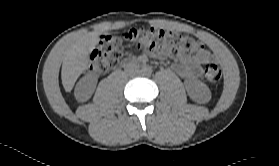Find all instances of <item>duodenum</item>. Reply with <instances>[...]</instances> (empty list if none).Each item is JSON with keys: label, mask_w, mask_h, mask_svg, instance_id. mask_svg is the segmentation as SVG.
I'll list each match as a JSON object with an SVG mask.
<instances>
[{"label": "duodenum", "mask_w": 279, "mask_h": 166, "mask_svg": "<svg viewBox=\"0 0 279 166\" xmlns=\"http://www.w3.org/2000/svg\"><path fill=\"white\" fill-rule=\"evenodd\" d=\"M139 64L138 61L131 59V58H125L122 62H121V66L124 68H130L133 67L135 65Z\"/></svg>", "instance_id": "410a0bca"}]
</instances>
